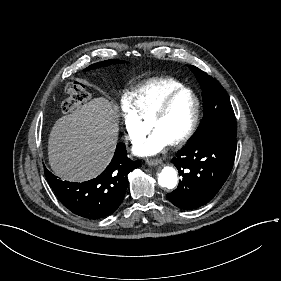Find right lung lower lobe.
Instances as JSON below:
<instances>
[{
	"label": "right lung lower lobe",
	"mask_w": 281,
	"mask_h": 281,
	"mask_svg": "<svg viewBox=\"0 0 281 281\" xmlns=\"http://www.w3.org/2000/svg\"><path fill=\"white\" fill-rule=\"evenodd\" d=\"M139 161H131L125 144L118 143L108 167L95 179L82 183L58 179L45 168L48 183L61 203L72 213L88 219H99L112 214L122 203L127 176Z\"/></svg>",
	"instance_id": "right-lung-lower-lobe-1"
}]
</instances>
